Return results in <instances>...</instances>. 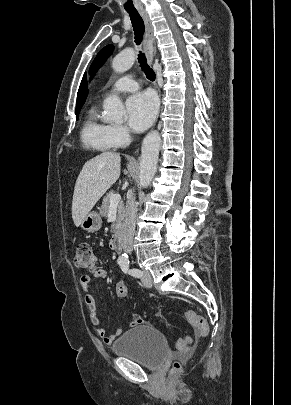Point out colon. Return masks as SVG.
Segmentation results:
<instances>
[{"instance_id": "1", "label": "colon", "mask_w": 291, "mask_h": 405, "mask_svg": "<svg viewBox=\"0 0 291 405\" xmlns=\"http://www.w3.org/2000/svg\"><path fill=\"white\" fill-rule=\"evenodd\" d=\"M74 265L79 270H86L95 272L97 270V258L88 243H80L76 248V255L74 258ZM115 293L118 298L125 299L128 295V288L123 279H118L115 284ZM187 321L199 332L202 337L209 335V324L207 320L194 311L188 310L185 314ZM190 339L183 337L179 338L176 347L180 351H186L189 348ZM180 368L178 362L174 363L173 371Z\"/></svg>"}]
</instances>
